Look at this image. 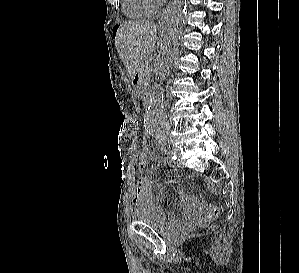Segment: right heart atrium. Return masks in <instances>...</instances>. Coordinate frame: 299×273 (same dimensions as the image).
Returning a JSON list of instances; mask_svg holds the SVG:
<instances>
[{
	"instance_id": "right-heart-atrium-1",
	"label": "right heart atrium",
	"mask_w": 299,
	"mask_h": 273,
	"mask_svg": "<svg viewBox=\"0 0 299 273\" xmlns=\"http://www.w3.org/2000/svg\"><path fill=\"white\" fill-rule=\"evenodd\" d=\"M150 1V3L155 7L156 6V4H157V2H158V0H149Z\"/></svg>"
}]
</instances>
